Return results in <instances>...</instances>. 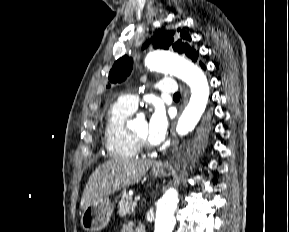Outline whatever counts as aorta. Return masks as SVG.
Here are the masks:
<instances>
[{
  "label": "aorta",
  "instance_id": "1",
  "mask_svg": "<svg viewBox=\"0 0 289 232\" xmlns=\"http://www.w3.org/2000/svg\"><path fill=\"white\" fill-rule=\"evenodd\" d=\"M145 65L150 70L173 74L189 85L191 97L176 127L179 135L188 134L199 122L208 103L210 88L205 74L193 63L160 50L149 53ZM177 202V192L174 189L166 191L157 202L155 232L173 231Z\"/></svg>",
  "mask_w": 289,
  "mask_h": 232
}]
</instances>
